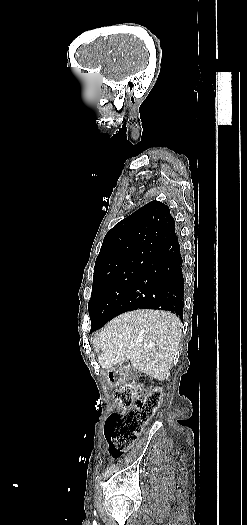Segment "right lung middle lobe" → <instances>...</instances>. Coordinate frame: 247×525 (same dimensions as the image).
<instances>
[{"mask_svg": "<svg viewBox=\"0 0 247 525\" xmlns=\"http://www.w3.org/2000/svg\"><path fill=\"white\" fill-rule=\"evenodd\" d=\"M149 260L148 256L123 269L94 272L92 294L88 303L91 328L103 326L116 316L118 306Z\"/></svg>", "mask_w": 247, "mask_h": 525, "instance_id": "obj_1", "label": "right lung middle lobe"}]
</instances>
